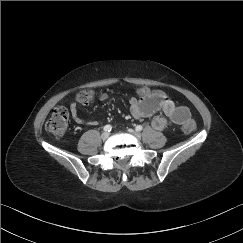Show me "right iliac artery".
I'll list each match as a JSON object with an SVG mask.
<instances>
[{
  "instance_id": "obj_1",
  "label": "right iliac artery",
  "mask_w": 243,
  "mask_h": 243,
  "mask_svg": "<svg viewBox=\"0 0 243 243\" xmlns=\"http://www.w3.org/2000/svg\"><path fill=\"white\" fill-rule=\"evenodd\" d=\"M111 130H112V126L111 125H106L104 127V131H106V132H110Z\"/></svg>"
}]
</instances>
